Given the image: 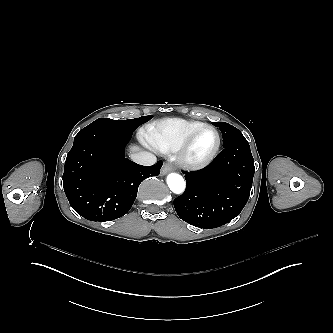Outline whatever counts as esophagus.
<instances>
[{"label": "esophagus", "mask_w": 333, "mask_h": 333, "mask_svg": "<svg viewBox=\"0 0 333 333\" xmlns=\"http://www.w3.org/2000/svg\"><path fill=\"white\" fill-rule=\"evenodd\" d=\"M171 170H173V165L169 162L165 163L161 169V176L166 175Z\"/></svg>", "instance_id": "34e87169"}]
</instances>
